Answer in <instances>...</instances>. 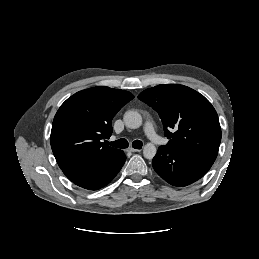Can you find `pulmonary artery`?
I'll return each instance as SVG.
<instances>
[{"mask_svg":"<svg viewBox=\"0 0 259 259\" xmlns=\"http://www.w3.org/2000/svg\"><path fill=\"white\" fill-rule=\"evenodd\" d=\"M144 133L152 142H159V137L156 134L154 126L150 120H147L144 124Z\"/></svg>","mask_w":259,"mask_h":259,"instance_id":"e3ab8cb5","label":"pulmonary artery"}]
</instances>
